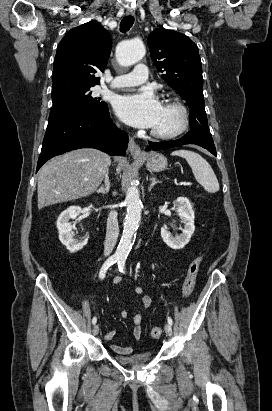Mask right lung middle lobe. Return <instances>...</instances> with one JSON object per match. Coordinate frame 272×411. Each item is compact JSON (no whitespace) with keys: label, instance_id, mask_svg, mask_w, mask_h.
<instances>
[{"label":"right lung middle lobe","instance_id":"1","mask_svg":"<svg viewBox=\"0 0 272 411\" xmlns=\"http://www.w3.org/2000/svg\"><path fill=\"white\" fill-rule=\"evenodd\" d=\"M53 106L48 123L59 120L71 114L101 111L107 104L92 96L91 88L69 92L63 97L52 99Z\"/></svg>","mask_w":272,"mask_h":411}]
</instances>
